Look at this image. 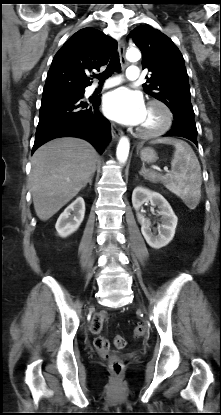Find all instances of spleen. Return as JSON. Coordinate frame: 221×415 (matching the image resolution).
Returning <instances> with one entry per match:
<instances>
[{"label":"spleen","instance_id":"obj_1","mask_svg":"<svg viewBox=\"0 0 221 415\" xmlns=\"http://www.w3.org/2000/svg\"><path fill=\"white\" fill-rule=\"evenodd\" d=\"M151 143L170 144L175 147L171 172L161 175L144 169L142 174L152 183L161 182L168 190L179 196L190 208H195L201 197V167L192 148L184 141L162 138Z\"/></svg>","mask_w":221,"mask_h":415}]
</instances>
